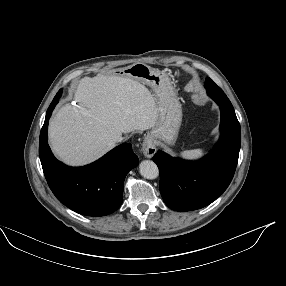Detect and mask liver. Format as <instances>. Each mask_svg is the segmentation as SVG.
Segmentation results:
<instances>
[{
    "label": "liver",
    "mask_w": 286,
    "mask_h": 286,
    "mask_svg": "<svg viewBox=\"0 0 286 286\" xmlns=\"http://www.w3.org/2000/svg\"><path fill=\"white\" fill-rule=\"evenodd\" d=\"M79 107L64 106L49 123L55 155L69 165L90 163L115 146L116 138L155 127L159 113L151 92L140 82L116 75L81 79Z\"/></svg>",
    "instance_id": "1"
}]
</instances>
